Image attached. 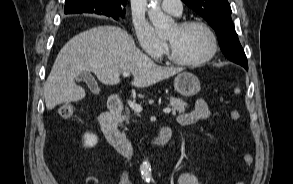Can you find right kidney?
Masks as SVG:
<instances>
[{"label": "right kidney", "mask_w": 293, "mask_h": 184, "mask_svg": "<svg viewBox=\"0 0 293 184\" xmlns=\"http://www.w3.org/2000/svg\"><path fill=\"white\" fill-rule=\"evenodd\" d=\"M98 142L97 136L94 134L86 133L84 135V146L85 147H94Z\"/></svg>", "instance_id": "obj_1"}]
</instances>
